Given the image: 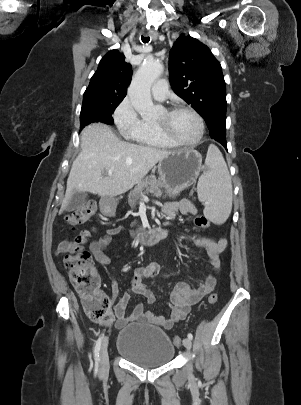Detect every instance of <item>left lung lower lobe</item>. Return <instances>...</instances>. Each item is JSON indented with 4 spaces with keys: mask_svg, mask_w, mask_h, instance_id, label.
<instances>
[{
    "mask_svg": "<svg viewBox=\"0 0 301 405\" xmlns=\"http://www.w3.org/2000/svg\"><path fill=\"white\" fill-rule=\"evenodd\" d=\"M216 141H218L219 143H221L226 149H227V143H226V138H221V137H215Z\"/></svg>",
    "mask_w": 301,
    "mask_h": 405,
    "instance_id": "0a47b994",
    "label": "left lung lower lobe"
}]
</instances>
